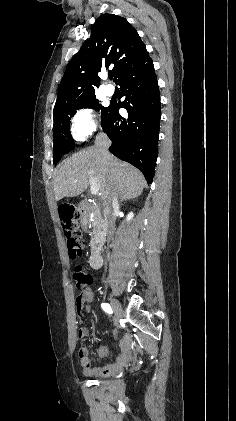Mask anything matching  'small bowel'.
<instances>
[{
	"label": "small bowel",
	"instance_id": "obj_1",
	"mask_svg": "<svg viewBox=\"0 0 236 421\" xmlns=\"http://www.w3.org/2000/svg\"><path fill=\"white\" fill-rule=\"evenodd\" d=\"M93 302V293L90 289H87L86 291H84L78 298L77 301V307L78 308H82V307H89L91 305V303ZM88 335V331L86 329H82L79 332V336L80 337H85ZM82 362L83 367L85 368V370L88 372L89 370V360L87 357V352L85 350V353L83 356H79Z\"/></svg>",
	"mask_w": 236,
	"mask_h": 421
}]
</instances>
